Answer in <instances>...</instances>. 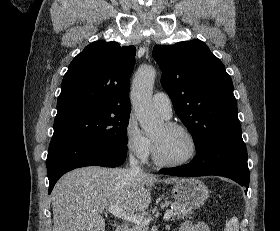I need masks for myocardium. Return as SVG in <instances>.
Listing matches in <instances>:
<instances>
[{"mask_svg":"<svg viewBox=\"0 0 280 231\" xmlns=\"http://www.w3.org/2000/svg\"><path fill=\"white\" fill-rule=\"evenodd\" d=\"M165 124L172 129L185 133L192 142L193 150H192V153L185 159L170 161V160H165L160 156V154L157 150L156 144H155L154 145L155 161L157 162V164H159L160 166H163V167H180V166L189 164L197 157V155L199 153V142H198V139H197L195 133L187 126L176 123V122L169 121V122H166Z\"/></svg>","mask_w":280,"mask_h":231,"instance_id":"myocardium-1","label":"myocardium"}]
</instances>
